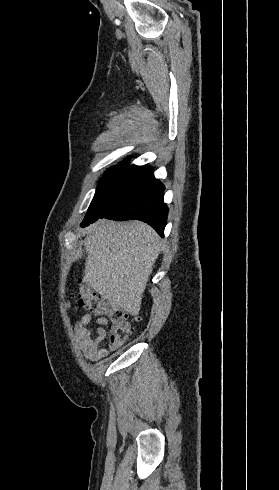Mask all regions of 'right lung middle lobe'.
I'll return each mask as SVG.
<instances>
[{
	"label": "right lung middle lobe",
	"instance_id": "obj_1",
	"mask_svg": "<svg viewBox=\"0 0 279 490\" xmlns=\"http://www.w3.org/2000/svg\"><path fill=\"white\" fill-rule=\"evenodd\" d=\"M122 163L106 171L96 188L94 198L82 223L97 219L105 210L107 201L114 194L130 186L144 184L154 178L152 167L126 166Z\"/></svg>",
	"mask_w": 279,
	"mask_h": 490
}]
</instances>
